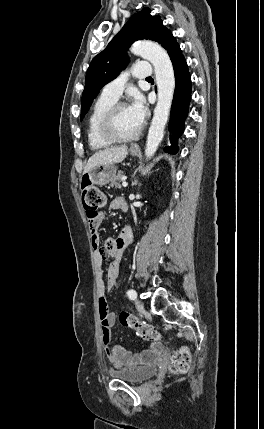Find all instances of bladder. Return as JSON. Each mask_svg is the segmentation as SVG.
<instances>
[{
  "mask_svg": "<svg viewBox=\"0 0 264 429\" xmlns=\"http://www.w3.org/2000/svg\"><path fill=\"white\" fill-rule=\"evenodd\" d=\"M157 372V365L154 363L140 365L134 368L114 369L110 371L113 379L131 384H139L152 378Z\"/></svg>",
  "mask_w": 264,
  "mask_h": 429,
  "instance_id": "1",
  "label": "bladder"
}]
</instances>
